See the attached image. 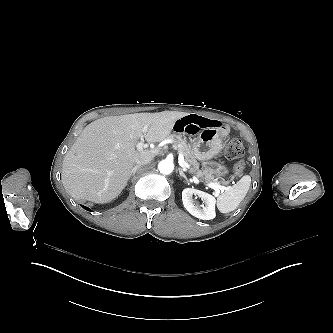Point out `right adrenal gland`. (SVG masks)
<instances>
[{
	"label": "right adrenal gland",
	"mask_w": 333,
	"mask_h": 333,
	"mask_svg": "<svg viewBox=\"0 0 333 333\" xmlns=\"http://www.w3.org/2000/svg\"><path fill=\"white\" fill-rule=\"evenodd\" d=\"M138 168H140V166H136V167H134V168L132 169V171H131V176H134V175H135L136 170H137Z\"/></svg>",
	"instance_id": "right-adrenal-gland-1"
}]
</instances>
